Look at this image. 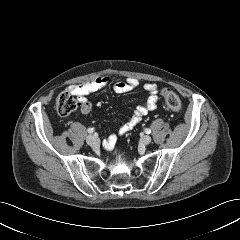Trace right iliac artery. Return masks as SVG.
I'll return each mask as SVG.
<instances>
[{
	"instance_id": "obj_1",
	"label": "right iliac artery",
	"mask_w": 240,
	"mask_h": 240,
	"mask_svg": "<svg viewBox=\"0 0 240 240\" xmlns=\"http://www.w3.org/2000/svg\"><path fill=\"white\" fill-rule=\"evenodd\" d=\"M87 131H88V133H93V132H94V128L89 127V128L87 129Z\"/></svg>"
}]
</instances>
